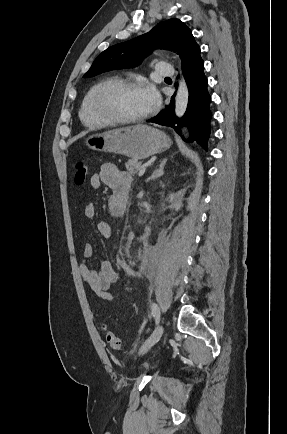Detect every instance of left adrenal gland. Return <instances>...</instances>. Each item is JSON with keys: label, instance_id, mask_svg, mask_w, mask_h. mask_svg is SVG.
<instances>
[{"label": "left adrenal gland", "instance_id": "a2214340", "mask_svg": "<svg viewBox=\"0 0 287 434\" xmlns=\"http://www.w3.org/2000/svg\"><path fill=\"white\" fill-rule=\"evenodd\" d=\"M166 162H167V158L163 159L159 165V168L156 169L151 174V176L147 178L146 182H149L150 180H155V179L159 178L160 176H162L164 173V166H165Z\"/></svg>", "mask_w": 287, "mask_h": 434}]
</instances>
